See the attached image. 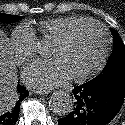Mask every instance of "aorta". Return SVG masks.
I'll use <instances>...</instances> for the list:
<instances>
[{
  "label": "aorta",
  "mask_w": 125,
  "mask_h": 125,
  "mask_svg": "<svg viewBox=\"0 0 125 125\" xmlns=\"http://www.w3.org/2000/svg\"><path fill=\"white\" fill-rule=\"evenodd\" d=\"M46 49H48V45L46 43H43L40 52L44 53ZM73 105V97L69 93L62 90L55 91L49 100V107L52 112L60 116H65L72 112Z\"/></svg>",
  "instance_id": "aorta-1"
}]
</instances>
